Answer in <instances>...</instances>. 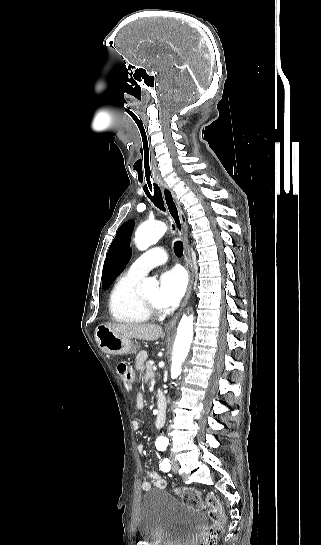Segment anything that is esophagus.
Wrapping results in <instances>:
<instances>
[{
  "label": "esophagus",
  "mask_w": 321,
  "mask_h": 545,
  "mask_svg": "<svg viewBox=\"0 0 321 545\" xmlns=\"http://www.w3.org/2000/svg\"><path fill=\"white\" fill-rule=\"evenodd\" d=\"M162 192H163L165 205L167 207L169 215L171 216L175 224L177 235L184 241V245H185L184 260H185V266L188 272V287H187L185 298L182 302L179 312L171 320V322H169L168 325H166L167 329H171L175 327L177 320L179 319L180 314L189 299L191 288L193 285V280H194V268L192 264L191 254H190L187 227L183 224L181 219V204L177 200L175 193L167 185H162Z\"/></svg>",
  "instance_id": "34e87169"
}]
</instances>
